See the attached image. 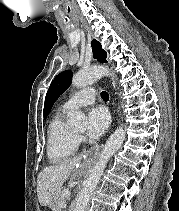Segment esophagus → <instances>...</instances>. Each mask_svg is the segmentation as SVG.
<instances>
[{"instance_id":"1","label":"esophagus","mask_w":179,"mask_h":211,"mask_svg":"<svg viewBox=\"0 0 179 211\" xmlns=\"http://www.w3.org/2000/svg\"><path fill=\"white\" fill-rule=\"evenodd\" d=\"M98 152H100V147H87L86 154H83V159H88V163H96Z\"/></svg>"}]
</instances>
